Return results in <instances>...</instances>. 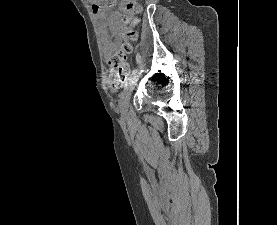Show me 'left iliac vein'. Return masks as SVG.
I'll list each match as a JSON object with an SVG mask.
<instances>
[{
    "label": "left iliac vein",
    "mask_w": 277,
    "mask_h": 225,
    "mask_svg": "<svg viewBox=\"0 0 277 225\" xmlns=\"http://www.w3.org/2000/svg\"><path fill=\"white\" fill-rule=\"evenodd\" d=\"M139 76L136 75L135 77H133L125 86L120 100H119V108H120V112L123 116L127 115L128 109H129V104H130V99H131V95L132 92L135 88V85L138 81Z\"/></svg>",
    "instance_id": "1"
}]
</instances>
